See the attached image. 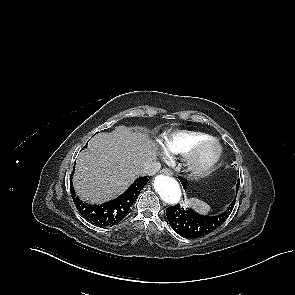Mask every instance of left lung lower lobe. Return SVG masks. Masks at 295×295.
<instances>
[{"mask_svg":"<svg viewBox=\"0 0 295 295\" xmlns=\"http://www.w3.org/2000/svg\"><path fill=\"white\" fill-rule=\"evenodd\" d=\"M183 187L186 186V180L178 177ZM237 192L239 182H237ZM235 200L230 204L226 211L216 216H204L191 209H184L179 205L171 206L166 209L167 219L171 227L185 238H198L209 234L220 227L228 218L233 210Z\"/></svg>","mask_w":295,"mask_h":295,"instance_id":"0a47b994","label":"left lung lower lobe"}]
</instances>
